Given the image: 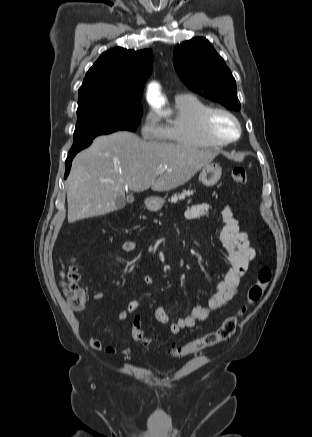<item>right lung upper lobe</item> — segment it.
Instances as JSON below:
<instances>
[{"instance_id": "right-lung-upper-lobe-1", "label": "right lung upper lobe", "mask_w": 312, "mask_h": 437, "mask_svg": "<svg viewBox=\"0 0 312 437\" xmlns=\"http://www.w3.org/2000/svg\"><path fill=\"white\" fill-rule=\"evenodd\" d=\"M151 49L121 47L103 53L87 72L79 88L78 108L90 105L135 106L152 70Z\"/></svg>"}]
</instances>
